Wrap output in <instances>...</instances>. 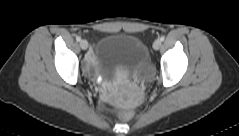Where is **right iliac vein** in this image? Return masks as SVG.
Instances as JSON below:
<instances>
[{"instance_id":"obj_1","label":"right iliac vein","mask_w":239,"mask_h":136,"mask_svg":"<svg viewBox=\"0 0 239 136\" xmlns=\"http://www.w3.org/2000/svg\"><path fill=\"white\" fill-rule=\"evenodd\" d=\"M89 44L86 40H81L80 41V47L83 49V50H86L88 48Z\"/></svg>"}]
</instances>
